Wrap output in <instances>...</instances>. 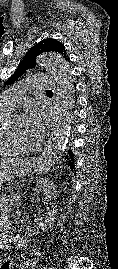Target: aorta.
I'll return each mask as SVG.
<instances>
[{
    "label": "aorta",
    "mask_w": 118,
    "mask_h": 269,
    "mask_svg": "<svg viewBox=\"0 0 118 269\" xmlns=\"http://www.w3.org/2000/svg\"><path fill=\"white\" fill-rule=\"evenodd\" d=\"M37 60L39 66L48 68L56 78L58 97V111L52 136L37 164V171L44 174L59 161L68 142L73 119L75 88L72 71L61 56L45 53Z\"/></svg>",
    "instance_id": "obj_1"
}]
</instances>
